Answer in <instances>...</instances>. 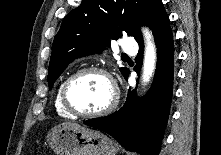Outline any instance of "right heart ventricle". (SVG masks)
Instances as JSON below:
<instances>
[{
  "mask_svg": "<svg viewBox=\"0 0 221 155\" xmlns=\"http://www.w3.org/2000/svg\"><path fill=\"white\" fill-rule=\"evenodd\" d=\"M63 83L64 81H62L60 83V85L58 86V89L56 91V95H55V108H56V111L57 113L62 116V117H65V118H74L73 115H71L68 111L65 110V108L63 107L62 103H61V89H62V86H63Z\"/></svg>",
  "mask_w": 221,
  "mask_h": 155,
  "instance_id": "1",
  "label": "right heart ventricle"
}]
</instances>
